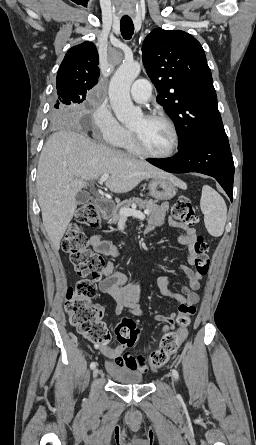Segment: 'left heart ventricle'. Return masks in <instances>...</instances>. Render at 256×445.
Masks as SVG:
<instances>
[{"label":"left heart ventricle","instance_id":"obj_1","mask_svg":"<svg viewBox=\"0 0 256 445\" xmlns=\"http://www.w3.org/2000/svg\"><path fill=\"white\" fill-rule=\"evenodd\" d=\"M130 129L139 135L145 148L152 153L163 154L171 148L172 133L164 122L146 120L142 116L130 126Z\"/></svg>","mask_w":256,"mask_h":445}]
</instances>
